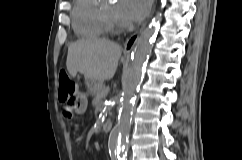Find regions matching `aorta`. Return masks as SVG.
<instances>
[{
	"instance_id": "762f6f07",
	"label": "aorta",
	"mask_w": 242,
	"mask_h": 160,
	"mask_svg": "<svg viewBox=\"0 0 242 160\" xmlns=\"http://www.w3.org/2000/svg\"><path fill=\"white\" fill-rule=\"evenodd\" d=\"M157 26L158 17L154 18L150 25L141 33L132 55L131 66L122 78L123 91L118 123L111 130L108 139V148L117 153L118 160H125L126 157L125 146L131 126L132 100L141 80L143 67L147 60Z\"/></svg>"
}]
</instances>
